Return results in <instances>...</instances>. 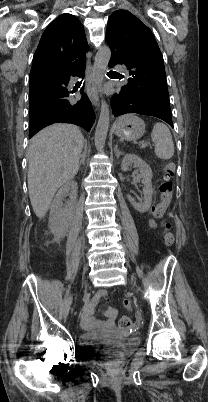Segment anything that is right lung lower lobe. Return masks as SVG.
<instances>
[{
	"instance_id": "right-lung-lower-lobe-1",
	"label": "right lung lower lobe",
	"mask_w": 208,
	"mask_h": 402,
	"mask_svg": "<svg viewBox=\"0 0 208 402\" xmlns=\"http://www.w3.org/2000/svg\"><path fill=\"white\" fill-rule=\"evenodd\" d=\"M86 66L85 55L78 60V65L70 75L45 74L31 76L29 91L44 90L53 99H47V110L39 112L30 119L29 138L44 127L54 123H71L90 131L95 121L94 110L87 95L81 90L82 98L78 102L71 101L66 86L72 76L84 77Z\"/></svg>"
}]
</instances>
